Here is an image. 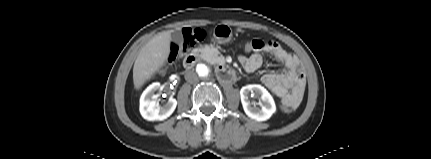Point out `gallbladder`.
I'll return each mask as SVG.
<instances>
[{"label": "gallbladder", "instance_id": "bac80fb5", "mask_svg": "<svg viewBox=\"0 0 431 159\" xmlns=\"http://www.w3.org/2000/svg\"><path fill=\"white\" fill-rule=\"evenodd\" d=\"M171 38L175 44H177L179 46H181L183 44V35H182L181 31H179V30L172 31Z\"/></svg>", "mask_w": 431, "mask_h": 159}]
</instances>
